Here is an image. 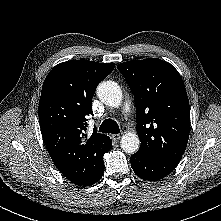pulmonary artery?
I'll return each instance as SVG.
<instances>
[{
    "mask_svg": "<svg viewBox=\"0 0 221 221\" xmlns=\"http://www.w3.org/2000/svg\"><path fill=\"white\" fill-rule=\"evenodd\" d=\"M125 112L127 113V115L131 116L132 110H131V108H130L129 105H126V106H125Z\"/></svg>",
    "mask_w": 221,
    "mask_h": 221,
    "instance_id": "1",
    "label": "pulmonary artery"
}]
</instances>
